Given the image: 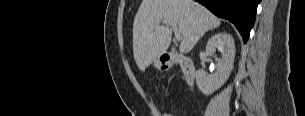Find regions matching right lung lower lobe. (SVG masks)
<instances>
[{
	"mask_svg": "<svg viewBox=\"0 0 305 116\" xmlns=\"http://www.w3.org/2000/svg\"><path fill=\"white\" fill-rule=\"evenodd\" d=\"M221 18L231 21L246 42L255 22L260 0H196Z\"/></svg>",
	"mask_w": 305,
	"mask_h": 116,
	"instance_id": "1",
	"label": "right lung lower lobe"
}]
</instances>
